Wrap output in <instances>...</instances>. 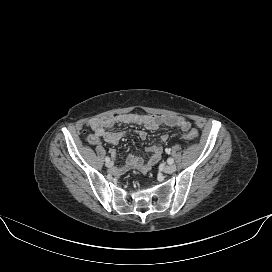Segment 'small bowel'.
Segmentation results:
<instances>
[{
  "label": "small bowel",
  "instance_id": "1",
  "mask_svg": "<svg viewBox=\"0 0 272 272\" xmlns=\"http://www.w3.org/2000/svg\"><path fill=\"white\" fill-rule=\"evenodd\" d=\"M115 124L122 125H140L148 130H157L160 126L179 127L182 131H188L191 127L190 123L182 116L177 115H144L136 113L118 114L115 116H107L102 118H94L89 122L92 132L88 136L91 144L97 145L101 140H105L110 144H118L124 133L111 132L107 129ZM137 135L144 140L146 133L144 131H137ZM168 140L166 134L158 138L157 143L148 148L149 157L144 160L137 155H130L124 165L115 169L116 173H121L129 169H138L141 172H147L153 165H155L162 157L163 149L161 144ZM115 157V152H112Z\"/></svg>",
  "mask_w": 272,
  "mask_h": 272
}]
</instances>
